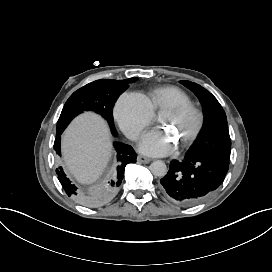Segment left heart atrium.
Segmentation results:
<instances>
[{
  "label": "left heart atrium",
  "mask_w": 272,
  "mask_h": 272,
  "mask_svg": "<svg viewBox=\"0 0 272 272\" xmlns=\"http://www.w3.org/2000/svg\"><path fill=\"white\" fill-rule=\"evenodd\" d=\"M172 137L162 129H152L143 138L141 149L151 155H167L174 150Z\"/></svg>",
  "instance_id": "1"
}]
</instances>
